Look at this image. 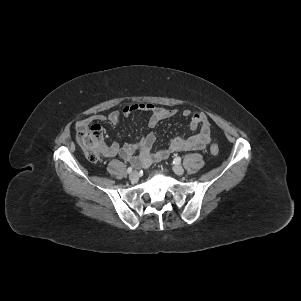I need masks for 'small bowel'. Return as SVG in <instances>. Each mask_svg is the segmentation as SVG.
Here are the masks:
<instances>
[{"label": "small bowel", "mask_w": 301, "mask_h": 301, "mask_svg": "<svg viewBox=\"0 0 301 301\" xmlns=\"http://www.w3.org/2000/svg\"><path fill=\"white\" fill-rule=\"evenodd\" d=\"M134 112H145L149 114L148 125L151 128L156 127L160 122L176 116L179 111L177 109H168L159 107L151 103H134L126 105L121 111L113 110L108 115L95 114L77 122L76 127L80 129L95 121H107L112 126L120 124L121 115L129 116ZM182 116L189 118V129L197 132L189 136L174 137L167 149L153 151L155 143V135L149 133L144 136L138 143L112 142L108 146H104L102 154L105 157L120 156L122 159L130 162L135 166H148L154 162H159L168 158L171 154L192 150H204L210 143L211 125L207 116L203 113H193L191 110H183Z\"/></svg>", "instance_id": "c3829d8e"}]
</instances>
